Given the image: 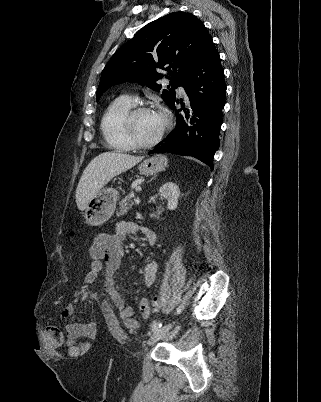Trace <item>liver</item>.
<instances>
[{
    "label": "liver",
    "instance_id": "obj_1",
    "mask_svg": "<svg viewBox=\"0 0 321 402\" xmlns=\"http://www.w3.org/2000/svg\"><path fill=\"white\" fill-rule=\"evenodd\" d=\"M143 157L119 152H104L93 158L87 165L76 189V203L84 210L95 194L113 177L132 168Z\"/></svg>",
    "mask_w": 321,
    "mask_h": 402
}]
</instances>
